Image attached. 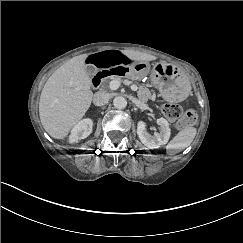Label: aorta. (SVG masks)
I'll return each mask as SVG.
<instances>
[{
    "instance_id": "1",
    "label": "aorta",
    "mask_w": 243,
    "mask_h": 243,
    "mask_svg": "<svg viewBox=\"0 0 243 243\" xmlns=\"http://www.w3.org/2000/svg\"><path fill=\"white\" fill-rule=\"evenodd\" d=\"M114 107L117 109H124L127 106V100L123 96H116L113 101Z\"/></svg>"
}]
</instances>
